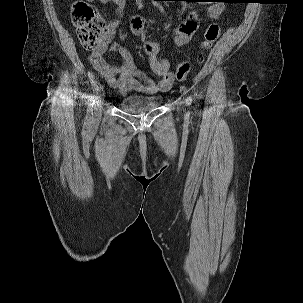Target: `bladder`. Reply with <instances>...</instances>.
<instances>
[{"instance_id": "31cf9c89", "label": "bladder", "mask_w": 303, "mask_h": 303, "mask_svg": "<svg viewBox=\"0 0 303 303\" xmlns=\"http://www.w3.org/2000/svg\"><path fill=\"white\" fill-rule=\"evenodd\" d=\"M162 102L161 94H130L121 98L120 108L129 113H143L159 108Z\"/></svg>"}]
</instances>
